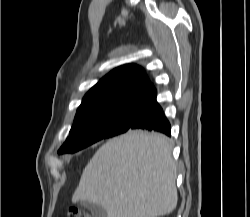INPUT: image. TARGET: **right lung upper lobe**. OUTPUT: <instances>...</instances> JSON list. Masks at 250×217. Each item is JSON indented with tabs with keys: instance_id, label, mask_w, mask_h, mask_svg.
Returning a JSON list of instances; mask_svg holds the SVG:
<instances>
[{
	"instance_id": "right-lung-upper-lobe-1",
	"label": "right lung upper lobe",
	"mask_w": 250,
	"mask_h": 217,
	"mask_svg": "<svg viewBox=\"0 0 250 217\" xmlns=\"http://www.w3.org/2000/svg\"><path fill=\"white\" fill-rule=\"evenodd\" d=\"M155 93L141 67L124 65L108 73L86 93L75 118L121 106L141 105Z\"/></svg>"
}]
</instances>
